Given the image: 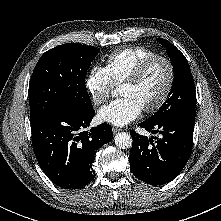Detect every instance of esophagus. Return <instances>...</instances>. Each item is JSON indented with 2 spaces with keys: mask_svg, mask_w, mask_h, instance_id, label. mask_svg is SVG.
Wrapping results in <instances>:
<instances>
[{
  "mask_svg": "<svg viewBox=\"0 0 221 221\" xmlns=\"http://www.w3.org/2000/svg\"><path fill=\"white\" fill-rule=\"evenodd\" d=\"M112 130H113V133L115 134V133H117V132H120L122 129H121V128H118V127L113 126V127H112Z\"/></svg>",
  "mask_w": 221,
  "mask_h": 221,
  "instance_id": "34e87169",
  "label": "esophagus"
}]
</instances>
